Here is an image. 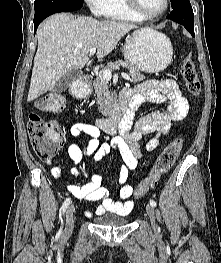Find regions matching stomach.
Listing matches in <instances>:
<instances>
[{
	"instance_id": "obj_1",
	"label": "stomach",
	"mask_w": 221,
	"mask_h": 263,
	"mask_svg": "<svg viewBox=\"0 0 221 263\" xmlns=\"http://www.w3.org/2000/svg\"><path fill=\"white\" fill-rule=\"evenodd\" d=\"M124 56L137 69L147 73L165 70L172 61L173 47L163 33L137 30L126 39Z\"/></svg>"
}]
</instances>
